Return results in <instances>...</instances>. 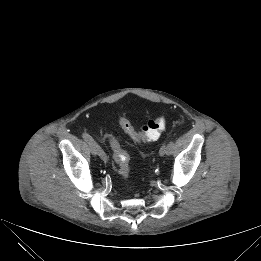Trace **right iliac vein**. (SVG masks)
<instances>
[{
	"label": "right iliac vein",
	"instance_id": "1",
	"mask_svg": "<svg viewBox=\"0 0 261 261\" xmlns=\"http://www.w3.org/2000/svg\"><path fill=\"white\" fill-rule=\"evenodd\" d=\"M88 149L93 157H96L98 155L96 148L92 144L88 143Z\"/></svg>",
	"mask_w": 261,
	"mask_h": 261
}]
</instances>
